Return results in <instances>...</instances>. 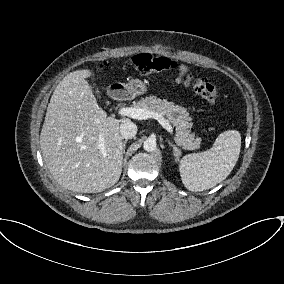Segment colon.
<instances>
[{
	"mask_svg": "<svg viewBox=\"0 0 284 284\" xmlns=\"http://www.w3.org/2000/svg\"><path fill=\"white\" fill-rule=\"evenodd\" d=\"M132 64L134 68L143 75L172 71L177 68L176 62L167 57L153 56L146 53L133 56ZM177 78L178 81L186 85H192L194 91L209 103L215 104L218 101L217 90L207 79H195L191 74L186 72H180Z\"/></svg>",
	"mask_w": 284,
	"mask_h": 284,
	"instance_id": "1",
	"label": "colon"
}]
</instances>
